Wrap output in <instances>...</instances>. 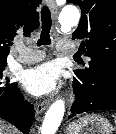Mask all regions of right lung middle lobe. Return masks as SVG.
<instances>
[{
    "label": "right lung middle lobe",
    "instance_id": "right-lung-middle-lobe-1",
    "mask_svg": "<svg viewBox=\"0 0 116 134\" xmlns=\"http://www.w3.org/2000/svg\"><path fill=\"white\" fill-rule=\"evenodd\" d=\"M7 63H0V102L10 101L18 92L17 83H9L4 70Z\"/></svg>",
    "mask_w": 116,
    "mask_h": 134
}]
</instances>
